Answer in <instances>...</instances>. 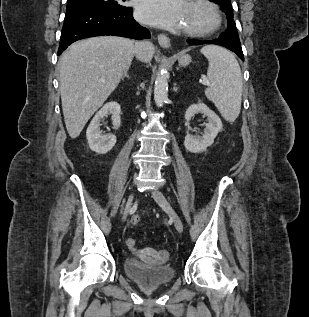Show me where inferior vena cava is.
Here are the masks:
<instances>
[{
  "instance_id": "1",
  "label": "inferior vena cava",
  "mask_w": 309,
  "mask_h": 317,
  "mask_svg": "<svg viewBox=\"0 0 309 317\" xmlns=\"http://www.w3.org/2000/svg\"><path fill=\"white\" fill-rule=\"evenodd\" d=\"M140 48H141V44L136 43V44H135V51H136L137 54H138Z\"/></svg>"
}]
</instances>
